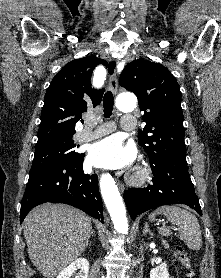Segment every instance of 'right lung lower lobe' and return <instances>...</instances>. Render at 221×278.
<instances>
[{
	"label": "right lung lower lobe",
	"mask_w": 221,
	"mask_h": 278,
	"mask_svg": "<svg viewBox=\"0 0 221 278\" xmlns=\"http://www.w3.org/2000/svg\"><path fill=\"white\" fill-rule=\"evenodd\" d=\"M83 160L81 154L76 159L53 163L29 174L20 222L33 207L45 202L72 205L103 222L98 176L83 170Z\"/></svg>",
	"instance_id": "obj_1"
}]
</instances>
